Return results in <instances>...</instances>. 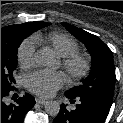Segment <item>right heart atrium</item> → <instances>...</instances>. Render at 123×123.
<instances>
[{"label": "right heart atrium", "mask_w": 123, "mask_h": 123, "mask_svg": "<svg viewBox=\"0 0 123 123\" xmlns=\"http://www.w3.org/2000/svg\"><path fill=\"white\" fill-rule=\"evenodd\" d=\"M35 43L32 39L25 40L19 47L18 50V61L21 67L30 68L34 63L35 57Z\"/></svg>", "instance_id": "obj_1"}]
</instances>
